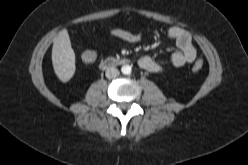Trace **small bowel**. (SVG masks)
Segmentation results:
<instances>
[{
    "instance_id": "small-bowel-1",
    "label": "small bowel",
    "mask_w": 248,
    "mask_h": 165,
    "mask_svg": "<svg viewBox=\"0 0 248 165\" xmlns=\"http://www.w3.org/2000/svg\"><path fill=\"white\" fill-rule=\"evenodd\" d=\"M112 37L121 39L128 43H137L142 40L141 33H133L123 29H112L110 31ZM167 35L174 40L178 50L172 53L170 57V65L174 68H179L185 64H189L196 59V49L192 43L190 34L180 27H171L167 30ZM140 68L152 72L161 73L166 69V65L160 63L148 55L141 56L138 59Z\"/></svg>"
}]
</instances>
